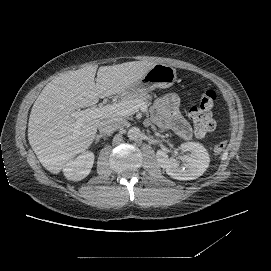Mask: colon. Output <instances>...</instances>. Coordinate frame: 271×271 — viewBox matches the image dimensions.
Masks as SVG:
<instances>
[{"mask_svg": "<svg viewBox=\"0 0 271 271\" xmlns=\"http://www.w3.org/2000/svg\"><path fill=\"white\" fill-rule=\"evenodd\" d=\"M216 99L213 90H204L194 100V105L190 109L189 117L193 123L197 136H205L216 128V122L212 116V108ZM226 142L221 141L214 147L216 154H221L226 148Z\"/></svg>", "mask_w": 271, "mask_h": 271, "instance_id": "5ec220e1", "label": "colon"}]
</instances>
